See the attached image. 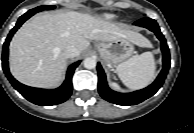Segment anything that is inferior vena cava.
<instances>
[{"mask_svg": "<svg viewBox=\"0 0 194 133\" xmlns=\"http://www.w3.org/2000/svg\"><path fill=\"white\" fill-rule=\"evenodd\" d=\"M64 54L67 58H73L79 55V50L75 46L66 47Z\"/></svg>", "mask_w": 194, "mask_h": 133, "instance_id": "inferior-vena-cava-1", "label": "inferior vena cava"}]
</instances>
